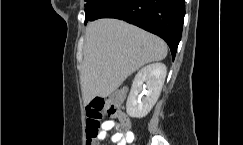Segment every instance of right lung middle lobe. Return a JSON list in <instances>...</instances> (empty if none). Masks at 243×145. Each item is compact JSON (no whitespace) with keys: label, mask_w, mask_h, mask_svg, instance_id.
Wrapping results in <instances>:
<instances>
[{"label":"right lung middle lobe","mask_w":243,"mask_h":145,"mask_svg":"<svg viewBox=\"0 0 243 145\" xmlns=\"http://www.w3.org/2000/svg\"><path fill=\"white\" fill-rule=\"evenodd\" d=\"M85 1H86L85 8H87L90 5V3L92 2V0H85Z\"/></svg>","instance_id":"dd1d6c3e"}]
</instances>
